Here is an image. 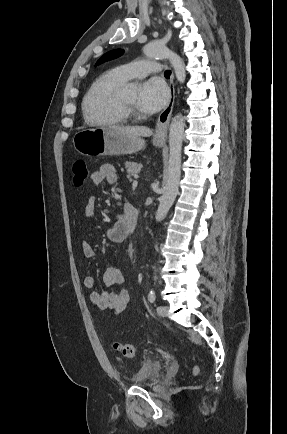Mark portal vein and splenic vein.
I'll use <instances>...</instances> for the list:
<instances>
[{"label":"portal vein and splenic vein","mask_w":287,"mask_h":434,"mask_svg":"<svg viewBox=\"0 0 287 434\" xmlns=\"http://www.w3.org/2000/svg\"><path fill=\"white\" fill-rule=\"evenodd\" d=\"M132 185H133V187H136L138 185V181L134 180L133 183H132Z\"/></svg>","instance_id":"1"}]
</instances>
